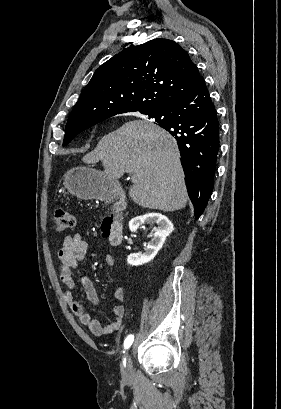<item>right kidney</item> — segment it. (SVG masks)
<instances>
[{"label": "right kidney", "mask_w": 281, "mask_h": 409, "mask_svg": "<svg viewBox=\"0 0 281 409\" xmlns=\"http://www.w3.org/2000/svg\"><path fill=\"white\" fill-rule=\"evenodd\" d=\"M144 223H156L158 227H156L151 241L145 247L144 253H131V255H128L127 263L135 265V267L152 261L161 247H163L166 237H169L173 231V223L165 215H161V213H146V215H141V217H134V219L129 221V229L134 233Z\"/></svg>", "instance_id": "right-kidney-1"}]
</instances>
